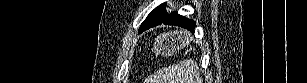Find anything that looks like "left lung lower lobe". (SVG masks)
<instances>
[{
	"instance_id": "1",
	"label": "left lung lower lobe",
	"mask_w": 307,
	"mask_h": 83,
	"mask_svg": "<svg viewBox=\"0 0 307 83\" xmlns=\"http://www.w3.org/2000/svg\"><path fill=\"white\" fill-rule=\"evenodd\" d=\"M161 24L180 26V27L186 28L187 30L191 32H194V29H195L194 21H191L185 18L184 16L179 15L177 12H172L168 14V16H166L165 18H163L162 20L156 23L149 24L142 28H139V33L143 32L144 30L149 29L150 27H154V26L161 25Z\"/></svg>"
}]
</instances>
